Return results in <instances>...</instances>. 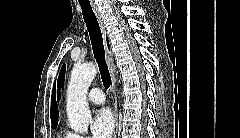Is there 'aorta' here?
<instances>
[{
  "label": "aorta",
  "mask_w": 240,
  "mask_h": 138,
  "mask_svg": "<svg viewBox=\"0 0 240 138\" xmlns=\"http://www.w3.org/2000/svg\"><path fill=\"white\" fill-rule=\"evenodd\" d=\"M96 75L93 63L74 66L67 88V116L72 130L79 133L88 131L91 113L87 102V92Z\"/></svg>",
  "instance_id": "762f6f07"
}]
</instances>
